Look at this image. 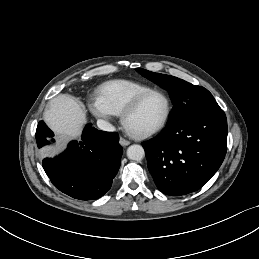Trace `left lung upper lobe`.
<instances>
[{
	"mask_svg": "<svg viewBox=\"0 0 259 259\" xmlns=\"http://www.w3.org/2000/svg\"><path fill=\"white\" fill-rule=\"evenodd\" d=\"M136 70L169 92L174 108L167 125H174L221 109L212 94L201 86L170 75L154 73L141 68Z\"/></svg>",
	"mask_w": 259,
	"mask_h": 259,
	"instance_id": "left-lung-upper-lobe-1",
	"label": "left lung upper lobe"
}]
</instances>
